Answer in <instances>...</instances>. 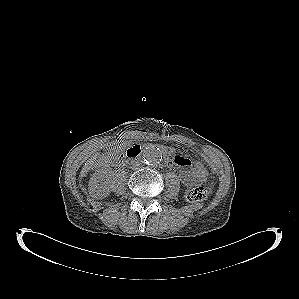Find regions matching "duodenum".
<instances>
[{"label":"duodenum","instance_id":"duodenum-1","mask_svg":"<svg viewBox=\"0 0 299 299\" xmlns=\"http://www.w3.org/2000/svg\"><path fill=\"white\" fill-rule=\"evenodd\" d=\"M141 152H142V148L139 145H134V146L130 147L123 154H121V156L118 159V164L124 165L128 161L138 158L140 156ZM164 154H165V159H166L167 164L171 165L172 161H171L169 155L166 152H164Z\"/></svg>","mask_w":299,"mask_h":299}]
</instances>
